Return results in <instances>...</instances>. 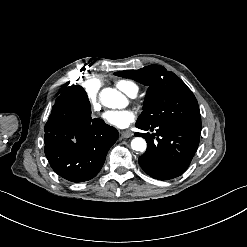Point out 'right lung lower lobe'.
<instances>
[{
	"label": "right lung lower lobe",
	"mask_w": 247,
	"mask_h": 247,
	"mask_svg": "<svg viewBox=\"0 0 247 247\" xmlns=\"http://www.w3.org/2000/svg\"><path fill=\"white\" fill-rule=\"evenodd\" d=\"M45 155L52 169L71 182H84L101 170L118 131L99 118L91 107L62 91L44 128Z\"/></svg>",
	"instance_id": "right-lung-lower-lobe-1"
}]
</instances>
